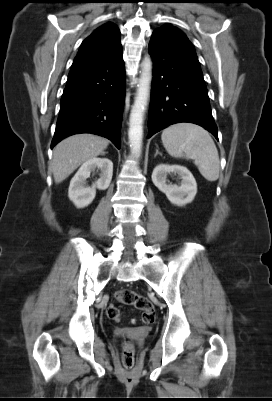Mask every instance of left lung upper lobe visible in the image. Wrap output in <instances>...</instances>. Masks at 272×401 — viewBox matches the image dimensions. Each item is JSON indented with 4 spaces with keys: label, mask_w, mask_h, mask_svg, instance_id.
Wrapping results in <instances>:
<instances>
[{
    "label": "left lung upper lobe",
    "mask_w": 272,
    "mask_h": 401,
    "mask_svg": "<svg viewBox=\"0 0 272 401\" xmlns=\"http://www.w3.org/2000/svg\"><path fill=\"white\" fill-rule=\"evenodd\" d=\"M156 31L163 33L168 39H170L173 43H175L180 48H183L192 53H195L193 45L188 40L186 35L179 29H177L171 25H164V26L156 29Z\"/></svg>",
    "instance_id": "left-lung-upper-lobe-1"
}]
</instances>
